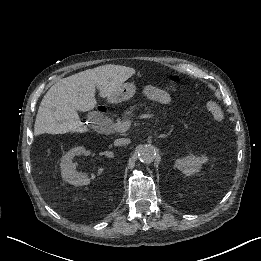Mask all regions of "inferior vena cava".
Masks as SVG:
<instances>
[{"label":"inferior vena cava","instance_id":"obj_1","mask_svg":"<svg viewBox=\"0 0 261 261\" xmlns=\"http://www.w3.org/2000/svg\"><path fill=\"white\" fill-rule=\"evenodd\" d=\"M116 143L119 145H125L130 143V139H126V138L117 139Z\"/></svg>","mask_w":261,"mask_h":261}]
</instances>
